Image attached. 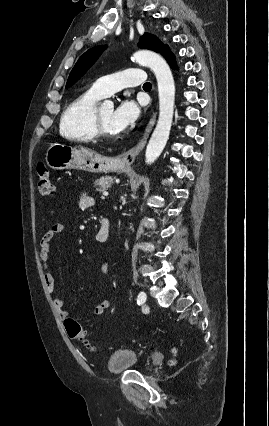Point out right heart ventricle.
Here are the masks:
<instances>
[{"instance_id": "obj_1", "label": "right heart ventricle", "mask_w": 269, "mask_h": 426, "mask_svg": "<svg viewBox=\"0 0 269 426\" xmlns=\"http://www.w3.org/2000/svg\"><path fill=\"white\" fill-rule=\"evenodd\" d=\"M102 97L89 89L75 98L64 110L60 119V133L77 142L94 140L93 114Z\"/></svg>"}]
</instances>
